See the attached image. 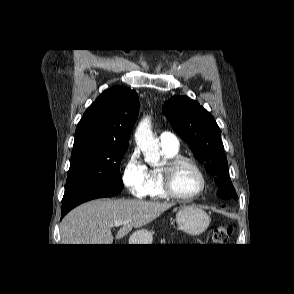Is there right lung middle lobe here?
Returning a JSON list of instances; mask_svg holds the SVG:
<instances>
[{
    "label": "right lung middle lobe",
    "instance_id": "right-lung-middle-lobe-1",
    "mask_svg": "<svg viewBox=\"0 0 294 294\" xmlns=\"http://www.w3.org/2000/svg\"><path fill=\"white\" fill-rule=\"evenodd\" d=\"M128 147H73L63 200L94 190L123 189L120 163Z\"/></svg>",
    "mask_w": 294,
    "mask_h": 294
}]
</instances>
